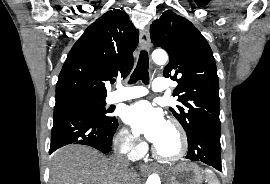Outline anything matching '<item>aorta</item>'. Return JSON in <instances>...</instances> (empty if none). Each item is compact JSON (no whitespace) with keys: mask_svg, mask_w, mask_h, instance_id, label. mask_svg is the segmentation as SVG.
<instances>
[{"mask_svg":"<svg viewBox=\"0 0 270 184\" xmlns=\"http://www.w3.org/2000/svg\"><path fill=\"white\" fill-rule=\"evenodd\" d=\"M152 59L155 63L161 65L166 63L168 56L165 51H155L152 54ZM146 184H161L160 177L157 174H151L148 177Z\"/></svg>","mask_w":270,"mask_h":184,"instance_id":"762f6f07","label":"aorta"}]
</instances>
